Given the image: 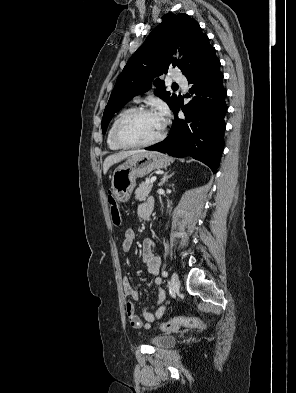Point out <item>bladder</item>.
<instances>
[{"mask_svg": "<svg viewBox=\"0 0 296 393\" xmlns=\"http://www.w3.org/2000/svg\"><path fill=\"white\" fill-rule=\"evenodd\" d=\"M177 342L175 335H158L150 338V343L158 348H170Z\"/></svg>", "mask_w": 296, "mask_h": 393, "instance_id": "bladder-1", "label": "bladder"}]
</instances>
